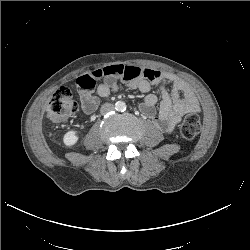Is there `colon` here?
<instances>
[{
    "instance_id": "5ec220e1",
    "label": "colon",
    "mask_w": 250,
    "mask_h": 250,
    "mask_svg": "<svg viewBox=\"0 0 250 250\" xmlns=\"http://www.w3.org/2000/svg\"><path fill=\"white\" fill-rule=\"evenodd\" d=\"M77 109L78 105L72 97V87L62 86L52 96L46 115L50 121L58 123L75 114ZM180 132L186 139L195 138L200 132L199 117L193 113L187 115L180 125Z\"/></svg>"
}]
</instances>
